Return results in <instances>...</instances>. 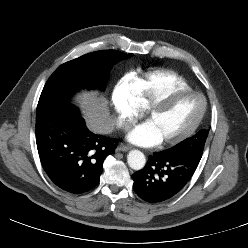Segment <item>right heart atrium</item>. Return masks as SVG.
I'll list each match as a JSON object with an SVG mask.
<instances>
[{"label": "right heart atrium", "mask_w": 248, "mask_h": 248, "mask_svg": "<svg viewBox=\"0 0 248 248\" xmlns=\"http://www.w3.org/2000/svg\"><path fill=\"white\" fill-rule=\"evenodd\" d=\"M111 103L116 114L115 124L123 130L129 129L143 113L135 94L125 83L114 89Z\"/></svg>", "instance_id": "1"}]
</instances>
